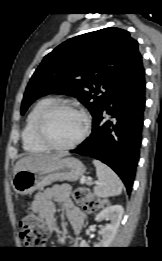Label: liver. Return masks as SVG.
<instances>
[{
  "label": "liver",
  "instance_id": "6515ba94",
  "mask_svg": "<svg viewBox=\"0 0 162 261\" xmlns=\"http://www.w3.org/2000/svg\"><path fill=\"white\" fill-rule=\"evenodd\" d=\"M64 156V154H53V155H29L25 156L21 159H19L13 169L14 175L21 171L26 169H35L44 166L47 162H50L52 160H56L57 158H60Z\"/></svg>",
  "mask_w": 162,
  "mask_h": 261
}]
</instances>
